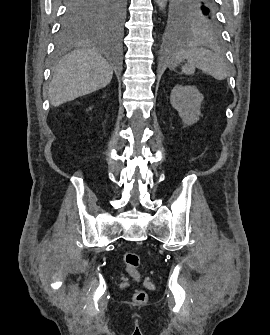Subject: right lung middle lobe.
<instances>
[{
    "label": "right lung middle lobe",
    "instance_id": "obj_1",
    "mask_svg": "<svg viewBox=\"0 0 270 335\" xmlns=\"http://www.w3.org/2000/svg\"><path fill=\"white\" fill-rule=\"evenodd\" d=\"M126 0H68L61 20L58 44L64 45L78 34L97 27L121 28Z\"/></svg>",
    "mask_w": 270,
    "mask_h": 335
}]
</instances>
